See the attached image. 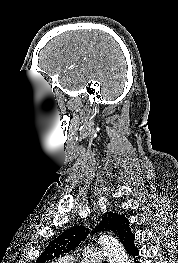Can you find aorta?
<instances>
[{"label": "aorta", "mask_w": 178, "mask_h": 263, "mask_svg": "<svg viewBox=\"0 0 178 263\" xmlns=\"http://www.w3.org/2000/svg\"><path fill=\"white\" fill-rule=\"evenodd\" d=\"M109 263H130L123 246L112 236L102 235L98 238Z\"/></svg>", "instance_id": "1"}]
</instances>
